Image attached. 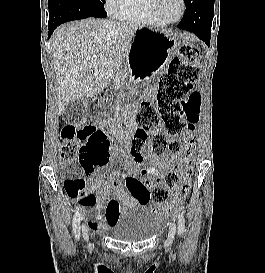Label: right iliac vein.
<instances>
[{"instance_id":"right-iliac-vein-1","label":"right iliac vein","mask_w":265,"mask_h":273,"mask_svg":"<svg viewBox=\"0 0 265 273\" xmlns=\"http://www.w3.org/2000/svg\"><path fill=\"white\" fill-rule=\"evenodd\" d=\"M82 233H83L85 240H88V229L85 224L82 225Z\"/></svg>"}]
</instances>
